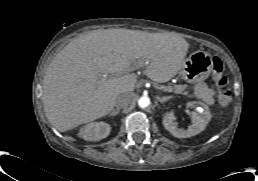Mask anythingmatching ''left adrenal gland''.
<instances>
[{
    "mask_svg": "<svg viewBox=\"0 0 258 181\" xmlns=\"http://www.w3.org/2000/svg\"><path fill=\"white\" fill-rule=\"evenodd\" d=\"M172 96H165V97H157V100L160 102V103H163L169 99H171Z\"/></svg>",
    "mask_w": 258,
    "mask_h": 181,
    "instance_id": "left-adrenal-gland-1",
    "label": "left adrenal gland"
}]
</instances>
